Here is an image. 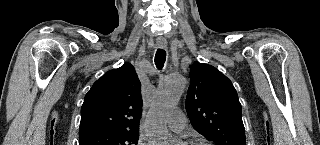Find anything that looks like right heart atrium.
<instances>
[{
    "instance_id": "right-heart-atrium-1",
    "label": "right heart atrium",
    "mask_w": 320,
    "mask_h": 145,
    "mask_svg": "<svg viewBox=\"0 0 320 145\" xmlns=\"http://www.w3.org/2000/svg\"><path fill=\"white\" fill-rule=\"evenodd\" d=\"M138 145H151V143L144 136H140L138 139Z\"/></svg>"
}]
</instances>
